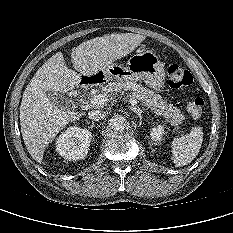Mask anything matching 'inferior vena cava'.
<instances>
[{"label":"inferior vena cava","mask_w":233,"mask_h":233,"mask_svg":"<svg viewBox=\"0 0 233 233\" xmlns=\"http://www.w3.org/2000/svg\"><path fill=\"white\" fill-rule=\"evenodd\" d=\"M88 117L91 119V120H94V121H100V120H103L105 119L106 117V112L102 111V110H92V111H89L88 113Z\"/></svg>","instance_id":"obj_1"}]
</instances>
